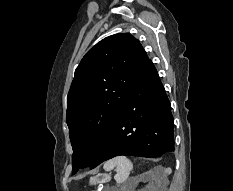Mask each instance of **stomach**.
Wrapping results in <instances>:
<instances>
[{"instance_id":"stomach-1","label":"stomach","mask_w":233,"mask_h":191,"mask_svg":"<svg viewBox=\"0 0 233 191\" xmlns=\"http://www.w3.org/2000/svg\"><path fill=\"white\" fill-rule=\"evenodd\" d=\"M110 180L109 174H101L94 177H91L89 180L90 185H96L98 183H104Z\"/></svg>"}]
</instances>
